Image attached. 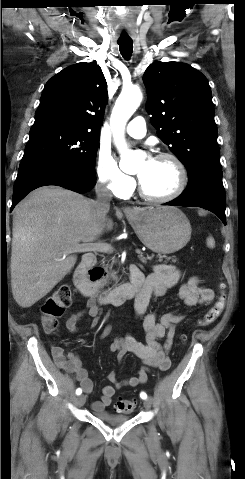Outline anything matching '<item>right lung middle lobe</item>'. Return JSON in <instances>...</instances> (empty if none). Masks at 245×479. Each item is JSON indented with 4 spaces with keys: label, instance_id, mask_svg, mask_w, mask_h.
<instances>
[{
    "label": "right lung middle lobe",
    "instance_id": "1",
    "mask_svg": "<svg viewBox=\"0 0 245 479\" xmlns=\"http://www.w3.org/2000/svg\"><path fill=\"white\" fill-rule=\"evenodd\" d=\"M98 146V133L56 125L32 127L19 170L56 163L95 174Z\"/></svg>",
    "mask_w": 245,
    "mask_h": 479
}]
</instances>
